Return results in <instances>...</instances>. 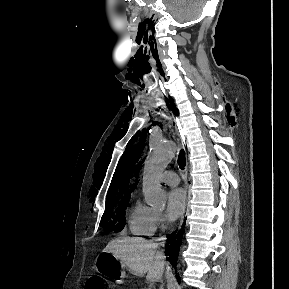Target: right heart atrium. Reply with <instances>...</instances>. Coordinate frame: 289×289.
I'll use <instances>...</instances> for the list:
<instances>
[{
    "instance_id": "1",
    "label": "right heart atrium",
    "mask_w": 289,
    "mask_h": 289,
    "mask_svg": "<svg viewBox=\"0 0 289 289\" xmlns=\"http://www.w3.org/2000/svg\"><path fill=\"white\" fill-rule=\"evenodd\" d=\"M164 224V219L161 214L156 215V226L161 227Z\"/></svg>"
}]
</instances>
